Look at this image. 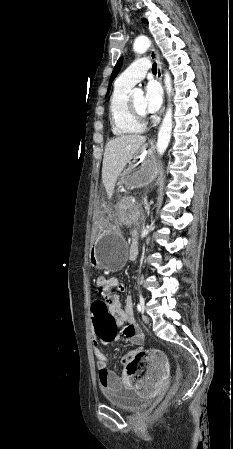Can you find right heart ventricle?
<instances>
[{"mask_svg": "<svg viewBox=\"0 0 233 449\" xmlns=\"http://www.w3.org/2000/svg\"><path fill=\"white\" fill-rule=\"evenodd\" d=\"M130 87L117 83L109 101V118L112 132L116 136L135 135L144 131V123L138 122L130 114L127 106Z\"/></svg>", "mask_w": 233, "mask_h": 449, "instance_id": "1", "label": "right heart ventricle"}]
</instances>
